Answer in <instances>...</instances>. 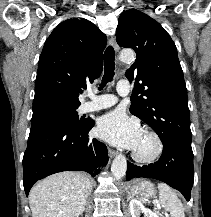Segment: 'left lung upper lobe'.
Returning <instances> with one entry per match:
<instances>
[{"label":"left lung upper lobe","mask_w":211,"mask_h":217,"mask_svg":"<svg viewBox=\"0 0 211 217\" xmlns=\"http://www.w3.org/2000/svg\"><path fill=\"white\" fill-rule=\"evenodd\" d=\"M116 40L137 54L125 73L135 81L130 112L161 140L175 137L191 142L187 89L170 35L147 14L130 9L119 17Z\"/></svg>","instance_id":"5c2ea615"}]
</instances>
